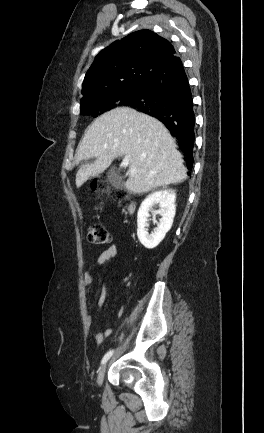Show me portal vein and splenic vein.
Here are the masks:
<instances>
[{
  "mask_svg": "<svg viewBox=\"0 0 264 433\" xmlns=\"http://www.w3.org/2000/svg\"><path fill=\"white\" fill-rule=\"evenodd\" d=\"M129 165V157L128 156H125L124 158H123V160H122V163H121V166L122 167H127ZM129 173L130 174H135V169H131L130 171H129Z\"/></svg>",
  "mask_w": 264,
  "mask_h": 433,
  "instance_id": "18ae733b",
  "label": "portal vein and splenic vein"
}]
</instances>
